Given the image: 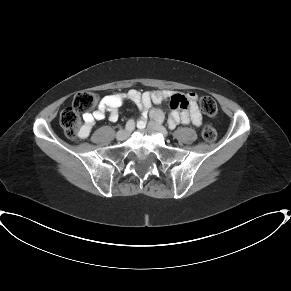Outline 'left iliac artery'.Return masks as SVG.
I'll use <instances>...</instances> for the list:
<instances>
[{"label":"left iliac artery","instance_id":"44dca946","mask_svg":"<svg viewBox=\"0 0 291 291\" xmlns=\"http://www.w3.org/2000/svg\"><path fill=\"white\" fill-rule=\"evenodd\" d=\"M163 119H164V117L162 116V114H157V120H158L159 122H162Z\"/></svg>","mask_w":291,"mask_h":291}]
</instances>
